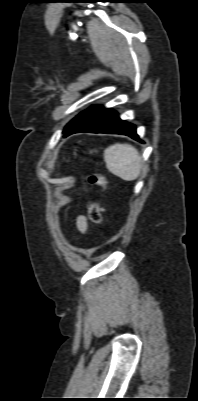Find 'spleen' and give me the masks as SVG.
<instances>
[{
  "label": "spleen",
  "instance_id": "obj_1",
  "mask_svg": "<svg viewBox=\"0 0 198 401\" xmlns=\"http://www.w3.org/2000/svg\"><path fill=\"white\" fill-rule=\"evenodd\" d=\"M107 169L125 181H133L140 175L142 159L138 150L130 144L116 143L104 151Z\"/></svg>",
  "mask_w": 198,
  "mask_h": 401
}]
</instances>
